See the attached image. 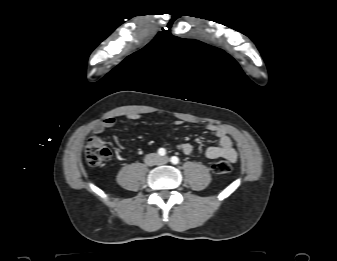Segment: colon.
Masks as SVG:
<instances>
[{
  "mask_svg": "<svg viewBox=\"0 0 337 261\" xmlns=\"http://www.w3.org/2000/svg\"><path fill=\"white\" fill-rule=\"evenodd\" d=\"M85 155L88 165L97 167L110 158L111 150L103 137L92 136L86 144ZM212 168L216 174L223 175L231 171V164L228 160H219Z\"/></svg>",
  "mask_w": 337,
  "mask_h": 261,
  "instance_id": "5ec220e1",
  "label": "colon"
}]
</instances>
